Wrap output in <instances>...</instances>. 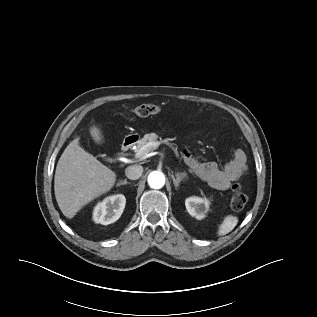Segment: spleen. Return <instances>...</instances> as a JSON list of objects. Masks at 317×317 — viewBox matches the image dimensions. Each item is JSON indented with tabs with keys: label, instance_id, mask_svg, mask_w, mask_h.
Returning a JSON list of instances; mask_svg holds the SVG:
<instances>
[{
	"label": "spleen",
	"instance_id": "1",
	"mask_svg": "<svg viewBox=\"0 0 317 317\" xmlns=\"http://www.w3.org/2000/svg\"><path fill=\"white\" fill-rule=\"evenodd\" d=\"M238 223V218L233 215H227L218 227V235L224 236L230 233Z\"/></svg>",
	"mask_w": 317,
	"mask_h": 317
}]
</instances>
